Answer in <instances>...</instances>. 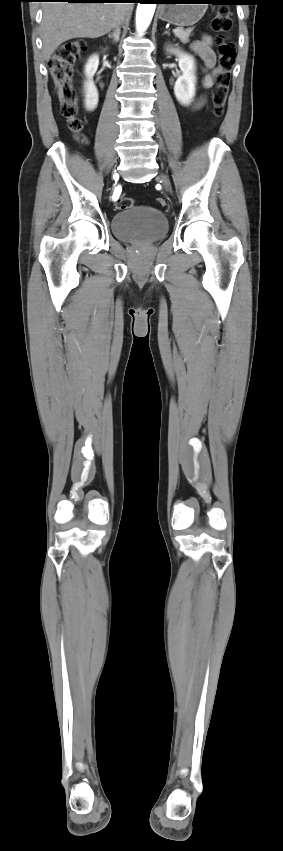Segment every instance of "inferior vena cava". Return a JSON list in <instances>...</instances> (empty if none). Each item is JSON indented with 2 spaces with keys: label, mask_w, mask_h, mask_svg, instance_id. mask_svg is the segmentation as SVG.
Returning <instances> with one entry per match:
<instances>
[{
  "label": "inferior vena cava",
  "mask_w": 283,
  "mask_h": 851,
  "mask_svg": "<svg viewBox=\"0 0 283 851\" xmlns=\"http://www.w3.org/2000/svg\"><path fill=\"white\" fill-rule=\"evenodd\" d=\"M123 4H125V3H123ZM125 16H126V9L124 8V10L121 13H119V15L116 18V21H115V24H114V29H115L114 33H116L118 30H120V25L124 22Z\"/></svg>",
  "instance_id": "602c4592"
}]
</instances>
